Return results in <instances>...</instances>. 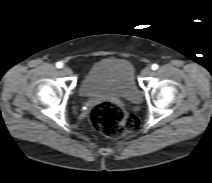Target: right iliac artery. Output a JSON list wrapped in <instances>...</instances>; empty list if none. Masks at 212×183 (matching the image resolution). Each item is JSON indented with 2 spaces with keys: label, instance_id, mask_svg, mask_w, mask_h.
I'll return each instance as SVG.
<instances>
[{
  "label": "right iliac artery",
  "instance_id": "obj_1",
  "mask_svg": "<svg viewBox=\"0 0 212 183\" xmlns=\"http://www.w3.org/2000/svg\"><path fill=\"white\" fill-rule=\"evenodd\" d=\"M56 67H57V68H62V67H63V64H62L61 62H57V63H56Z\"/></svg>",
  "mask_w": 212,
  "mask_h": 183
}]
</instances>
